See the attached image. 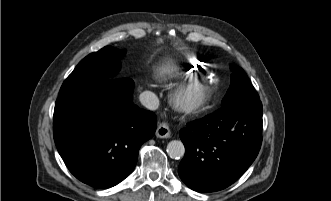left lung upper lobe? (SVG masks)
<instances>
[{"label":"left lung upper lobe","mask_w":331,"mask_h":201,"mask_svg":"<svg viewBox=\"0 0 331 201\" xmlns=\"http://www.w3.org/2000/svg\"><path fill=\"white\" fill-rule=\"evenodd\" d=\"M231 70V85L222 100V105L260 99L244 70L234 64H231Z\"/></svg>","instance_id":"left-lung-upper-lobe-1"}]
</instances>
